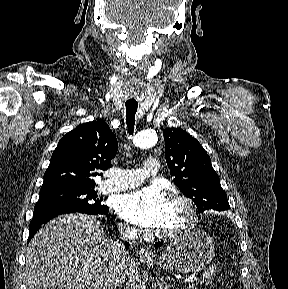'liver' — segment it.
<instances>
[{"label":"liver","mask_w":288,"mask_h":289,"mask_svg":"<svg viewBox=\"0 0 288 289\" xmlns=\"http://www.w3.org/2000/svg\"><path fill=\"white\" fill-rule=\"evenodd\" d=\"M110 243L93 216L65 214L51 220L29 243L28 289H92L96 275L110 260ZM128 265L126 259L120 285L125 282Z\"/></svg>","instance_id":"1"}]
</instances>
